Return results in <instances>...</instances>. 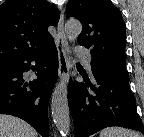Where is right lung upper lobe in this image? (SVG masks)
<instances>
[{"label":"right lung upper lobe","instance_id":"right-lung-upper-lobe-1","mask_svg":"<svg viewBox=\"0 0 144 137\" xmlns=\"http://www.w3.org/2000/svg\"><path fill=\"white\" fill-rule=\"evenodd\" d=\"M59 12L46 0H6L0 5V71L53 40L47 31Z\"/></svg>","mask_w":144,"mask_h":137}]
</instances>
